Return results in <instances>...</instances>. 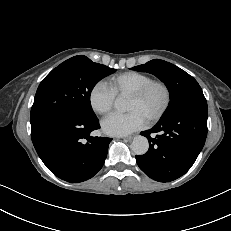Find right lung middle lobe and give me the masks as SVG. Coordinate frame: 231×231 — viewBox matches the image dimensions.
<instances>
[{
  "label": "right lung middle lobe",
  "mask_w": 231,
  "mask_h": 231,
  "mask_svg": "<svg viewBox=\"0 0 231 231\" xmlns=\"http://www.w3.org/2000/svg\"><path fill=\"white\" fill-rule=\"evenodd\" d=\"M115 71L83 55L61 63L37 89L30 115L32 132L62 115L96 118L90 103L91 91L101 79Z\"/></svg>",
  "instance_id": "1"
}]
</instances>
